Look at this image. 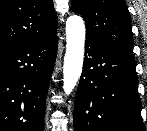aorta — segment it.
<instances>
[{
  "instance_id": "aorta-1",
  "label": "aorta",
  "mask_w": 147,
  "mask_h": 131,
  "mask_svg": "<svg viewBox=\"0 0 147 131\" xmlns=\"http://www.w3.org/2000/svg\"><path fill=\"white\" fill-rule=\"evenodd\" d=\"M85 24L80 16L72 15L66 21V54L63 68V89L69 95L75 88L83 67Z\"/></svg>"
}]
</instances>
